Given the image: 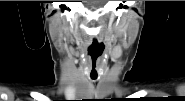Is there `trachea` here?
I'll return each mask as SVG.
<instances>
[{"instance_id": "3493384b", "label": "trachea", "mask_w": 185, "mask_h": 101, "mask_svg": "<svg viewBox=\"0 0 185 101\" xmlns=\"http://www.w3.org/2000/svg\"><path fill=\"white\" fill-rule=\"evenodd\" d=\"M91 78L96 79L97 78V68L96 63H92V70H91Z\"/></svg>"}]
</instances>
